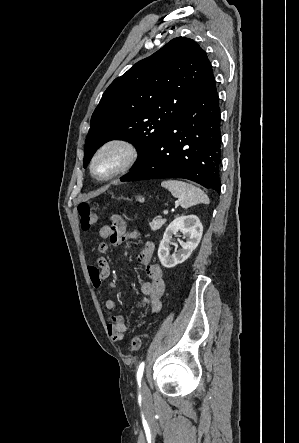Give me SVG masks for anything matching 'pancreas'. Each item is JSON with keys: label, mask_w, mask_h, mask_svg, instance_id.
Segmentation results:
<instances>
[{"label": "pancreas", "mask_w": 299, "mask_h": 443, "mask_svg": "<svg viewBox=\"0 0 299 443\" xmlns=\"http://www.w3.org/2000/svg\"><path fill=\"white\" fill-rule=\"evenodd\" d=\"M166 223V219H155L149 223L151 230L156 231L159 230Z\"/></svg>", "instance_id": "pancreas-1"}]
</instances>
